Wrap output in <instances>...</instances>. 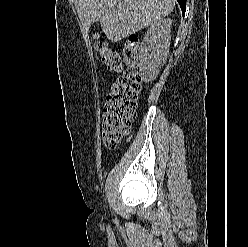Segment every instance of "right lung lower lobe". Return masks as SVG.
I'll return each instance as SVG.
<instances>
[{"label": "right lung lower lobe", "mask_w": 248, "mask_h": 247, "mask_svg": "<svg viewBox=\"0 0 248 247\" xmlns=\"http://www.w3.org/2000/svg\"><path fill=\"white\" fill-rule=\"evenodd\" d=\"M177 1L180 4L182 14L184 15L186 11V0H177Z\"/></svg>", "instance_id": "1"}]
</instances>
